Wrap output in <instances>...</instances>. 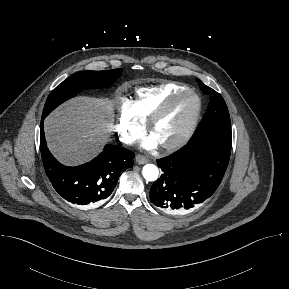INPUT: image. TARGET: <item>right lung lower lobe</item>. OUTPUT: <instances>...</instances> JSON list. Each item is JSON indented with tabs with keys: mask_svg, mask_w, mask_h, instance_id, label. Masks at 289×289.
Returning <instances> with one entry per match:
<instances>
[{
	"mask_svg": "<svg viewBox=\"0 0 289 289\" xmlns=\"http://www.w3.org/2000/svg\"><path fill=\"white\" fill-rule=\"evenodd\" d=\"M44 118L40 125V150L45 172L54 189L76 205L100 203L111 195L123 171L133 166L134 153L126 148L106 145L92 161L67 167L59 163L47 148Z\"/></svg>",
	"mask_w": 289,
	"mask_h": 289,
	"instance_id": "1",
	"label": "right lung lower lobe"
}]
</instances>
